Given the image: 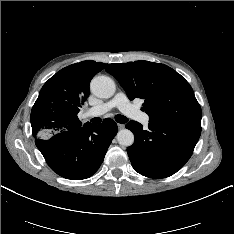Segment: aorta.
Returning <instances> with one entry per match:
<instances>
[{
    "label": "aorta",
    "mask_w": 234,
    "mask_h": 234,
    "mask_svg": "<svg viewBox=\"0 0 234 234\" xmlns=\"http://www.w3.org/2000/svg\"><path fill=\"white\" fill-rule=\"evenodd\" d=\"M115 90V83L110 77L97 76L91 81V92L99 98H110ZM117 141L122 146H131L134 143V134L128 129H122L117 133Z\"/></svg>",
    "instance_id": "762f6f07"
}]
</instances>
